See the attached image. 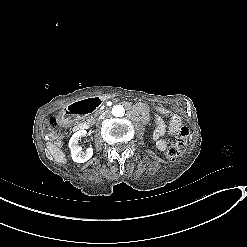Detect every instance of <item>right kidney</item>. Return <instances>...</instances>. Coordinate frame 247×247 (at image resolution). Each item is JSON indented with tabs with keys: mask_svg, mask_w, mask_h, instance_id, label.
I'll list each match as a JSON object with an SVG mask.
<instances>
[{
	"mask_svg": "<svg viewBox=\"0 0 247 247\" xmlns=\"http://www.w3.org/2000/svg\"><path fill=\"white\" fill-rule=\"evenodd\" d=\"M86 136L85 130L75 132L69 140L70 156L76 163H85L93 156L94 149L89 147L85 152L82 151V146L78 145L79 140Z\"/></svg>",
	"mask_w": 247,
	"mask_h": 247,
	"instance_id": "obj_1",
	"label": "right kidney"
}]
</instances>
